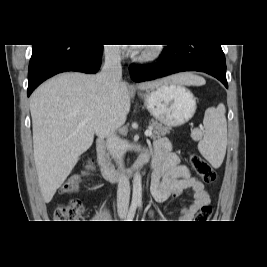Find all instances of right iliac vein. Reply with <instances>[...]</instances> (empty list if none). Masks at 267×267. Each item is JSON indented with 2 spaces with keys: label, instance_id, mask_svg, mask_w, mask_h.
I'll list each match as a JSON object with an SVG mask.
<instances>
[{
  "label": "right iliac vein",
  "instance_id": "obj_1",
  "mask_svg": "<svg viewBox=\"0 0 267 267\" xmlns=\"http://www.w3.org/2000/svg\"><path fill=\"white\" fill-rule=\"evenodd\" d=\"M119 215H120L121 218H125L126 212L125 211H122V212L119 213Z\"/></svg>",
  "mask_w": 267,
  "mask_h": 267
}]
</instances>
